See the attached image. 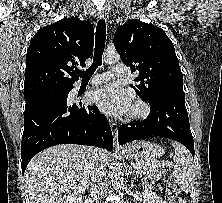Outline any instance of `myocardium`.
I'll return each mask as SVG.
<instances>
[{
  "label": "myocardium",
  "mask_w": 222,
  "mask_h": 203,
  "mask_svg": "<svg viewBox=\"0 0 222 203\" xmlns=\"http://www.w3.org/2000/svg\"><path fill=\"white\" fill-rule=\"evenodd\" d=\"M149 111V106L145 102L141 100H136L133 103L128 116L131 119H142L149 114Z\"/></svg>",
  "instance_id": "f54148a6"
}]
</instances>
